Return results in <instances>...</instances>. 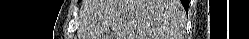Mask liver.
I'll return each instance as SVG.
<instances>
[{"label":"liver","instance_id":"obj_1","mask_svg":"<svg viewBox=\"0 0 249 39\" xmlns=\"http://www.w3.org/2000/svg\"><path fill=\"white\" fill-rule=\"evenodd\" d=\"M179 0H84L80 39H175Z\"/></svg>","mask_w":249,"mask_h":39}]
</instances>
